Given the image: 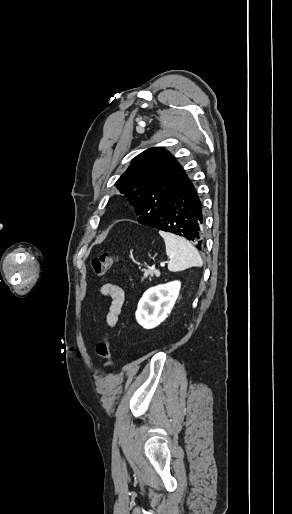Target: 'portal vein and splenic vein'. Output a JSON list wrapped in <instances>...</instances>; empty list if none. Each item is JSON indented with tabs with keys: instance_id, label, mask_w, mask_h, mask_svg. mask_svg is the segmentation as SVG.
I'll return each mask as SVG.
<instances>
[{
	"instance_id": "1",
	"label": "portal vein and splenic vein",
	"mask_w": 292,
	"mask_h": 514,
	"mask_svg": "<svg viewBox=\"0 0 292 514\" xmlns=\"http://www.w3.org/2000/svg\"><path fill=\"white\" fill-rule=\"evenodd\" d=\"M160 266H165V264H160Z\"/></svg>"
}]
</instances>
